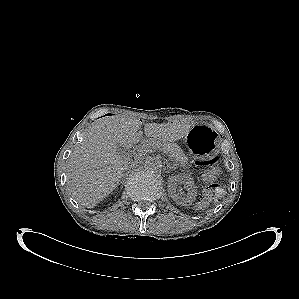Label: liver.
<instances>
[{
	"label": "liver",
	"instance_id": "6515ba94",
	"mask_svg": "<svg viewBox=\"0 0 299 299\" xmlns=\"http://www.w3.org/2000/svg\"><path fill=\"white\" fill-rule=\"evenodd\" d=\"M142 122L134 117L109 116L95 121L67 164V189L87 208H93L120 182L129 159L123 158L117 145L132 148L140 142ZM191 129L185 123H146L147 137L162 142L176 141Z\"/></svg>",
	"mask_w": 299,
	"mask_h": 299
}]
</instances>
